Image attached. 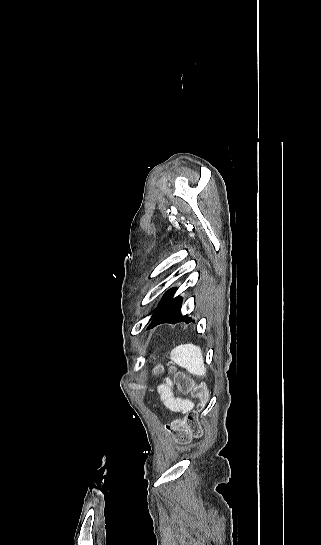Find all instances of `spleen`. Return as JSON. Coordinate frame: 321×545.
<instances>
[{"label":"spleen","instance_id":"1","mask_svg":"<svg viewBox=\"0 0 321 545\" xmlns=\"http://www.w3.org/2000/svg\"><path fill=\"white\" fill-rule=\"evenodd\" d=\"M171 361H174L179 367L187 369L191 375L197 377H205L206 367L200 347L196 345H179L171 351Z\"/></svg>","mask_w":321,"mask_h":545}]
</instances>
